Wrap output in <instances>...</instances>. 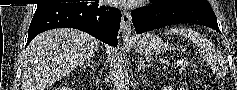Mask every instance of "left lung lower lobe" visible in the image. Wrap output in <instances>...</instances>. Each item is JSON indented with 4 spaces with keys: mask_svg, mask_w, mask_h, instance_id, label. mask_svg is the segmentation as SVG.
<instances>
[{
    "mask_svg": "<svg viewBox=\"0 0 237 90\" xmlns=\"http://www.w3.org/2000/svg\"><path fill=\"white\" fill-rule=\"evenodd\" d=\"M149 8L132 11V22L137 33L147 32L171 24L193 23L218 28L217 19L212 9L195 8L182 4H167L153 0Z\"/></svg>",
    "mask_w": 237,
    "mask_h": 90,
    "instance_id": "left-lung-lower-lobe-1",
    "label": "left lung lower lobe"
}]
</instances>
